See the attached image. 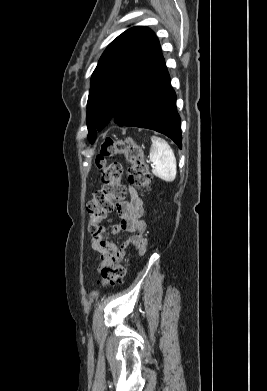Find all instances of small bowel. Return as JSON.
Here are the masks:
<instances>
[{
	"label": "small bowel",
	"instance_id": "c3829d8e",
	"mask_svg": "<svg viewBox=\"0 0 267 391\" xmlns=\"http://www.w3.org/2000/svg\"><path fill=\"white\" fill-rule=\"evenodd\" d=\"M129 199L116 204L117 221L111 224V233L126 232L131 234L120 246H116L106 236V228L95 235L91 248L100 256L99 270L122 261L126 250L132 246L138 255H143L147 247L145 238L146 223L141 219L144 208L143 202L135 188L129 187Z\"/></svg>",
	"mask_w": 267,
	"mask_h": 391
}]
</instances>
